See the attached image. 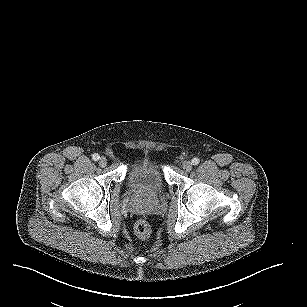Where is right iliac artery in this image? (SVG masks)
<instances>
[{
	"instance_id": "obj_1",
	"label": "right iliac artery",
	"mask_w": 307,
	"mask_h": 307,
	"mask_svg": "<svg viewBox=\"0 0 307 307\" xmlns=\"http://www.w3.org/2000/svg\"><path fill=\"white\" fill-rule=\"evenodd\" d=\"M92 159L94 161H98L100 159V156L98 154H93Z\"/></svg>"
}]
</instances>
